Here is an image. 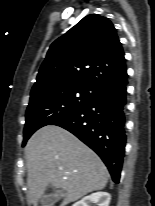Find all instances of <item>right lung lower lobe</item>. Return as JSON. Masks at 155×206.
Wrapping results in <instances>:
<instances>
[{"label":"right lung lower lobe","mask_w":155,"mask_h":206,"mask_svg":"<svg viewBox=\"0 0 155 206\" xmlns=\"http://www.w3.org/2000/svg\"><path fill=\"white\" fill-rule=\"evenodd\" d=\"M127 72L98 90L96 96L71 116L53 124L60 126L94 150L118 183L123 163L126 134Z\"/></svg>","instance_id":"right-lung-lower-lobe-1"}]
</instances>
